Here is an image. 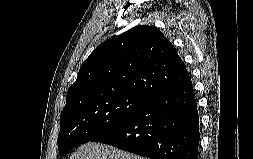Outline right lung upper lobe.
<instances>
[{
    "instance_id": "cb5924a9",
    "label": "right lung upper lobe",
    "mask_w": 253,
    "mask_h": 159,
    "mask_svg": "<svg viewBox=\"0 0 253 159\" xmlns=\"http://www.w3.org/2000/svg\"><path fill=\"white\" fill-rule=\"evenodd\" d=\"M190 78L175 47L153 26H137L99 45L82 64L66 104L97 93L147 99Z\"/></svg>"
}]
</instances>
